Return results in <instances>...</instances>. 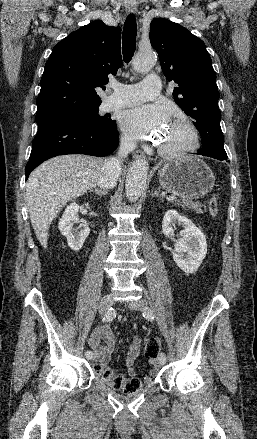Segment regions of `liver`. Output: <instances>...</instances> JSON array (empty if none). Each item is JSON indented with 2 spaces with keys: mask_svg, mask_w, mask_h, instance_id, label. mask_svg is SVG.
<instances>
[{
  "mask_svg": "<svg viewBox=\"0 0 257 439\" xmlns=\"http://www.w3.org/2000/svg\"><path fill=\"white\" fill-rule=\"evenodd\" d=\"M103 161L85 155L54 157L37 167L26 187V200L36 237L46 248L52 221L67 202L96 184Z\"/></svg>",
  "mask_w": 257,
  "mask_h": 439,
  "instance_id": "6515ba94",
  "label": "liver"
}]
</instances>
